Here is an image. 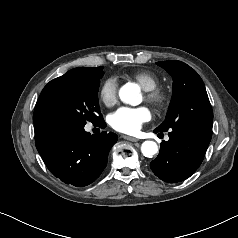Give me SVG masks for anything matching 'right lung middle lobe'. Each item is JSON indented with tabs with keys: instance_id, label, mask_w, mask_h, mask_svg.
Wrapping results in <instances>:
<instances>
[{
	"instance_id": "obj_1",
	"label": "right lung middle lobe",
	"mask_w": 238,
	"mask_h": 238,
	"mask_svg": "<svg viewBox=\"0 0 238 238\" xmlns=\"http://www.w3.org/2000/svg\"><path fill=\"white\" fill-rule=\"evenodd\" d=\"M103 75V67L75 68L50 81L45 87L52 123L101 121L97 93Z\"/></svg>"
}]
</instances>
